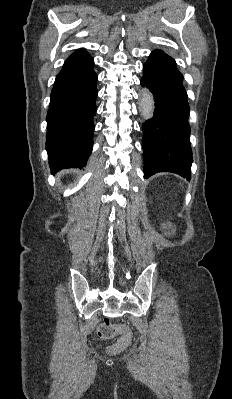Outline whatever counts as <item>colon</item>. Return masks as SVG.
<instances>
[{"instance_id": "1", "label": "colon", "mask_w": 232, "mask_h": 399, "mask_svg": "<svg viewBox=\"0 0 232 399\" xmlns=\"http://www.w3.org/2000/svg\"><path fill=\"white\" fill-rule=\"evenodd\" d=\"M100 326L102 328L96 331V336L102 337L103 341H113L116 333L120 332L121 323L119 321H109L108 323L102 321Z\"/></svg>"}]
</instances>
